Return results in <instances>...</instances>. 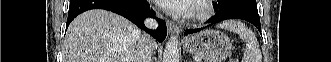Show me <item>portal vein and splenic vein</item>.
I'll list each match as a JSON object with an SVG mask.
<instances>
[{"instance_id": "1", "label": "portal vein and splenic vein", "mask_w": 331, "mask_h": 62, "mask_svg": "<svg viewBox=\"0 0 331 62\" xmlns=\"http://www.w3.org/2000/svg\"><path fill=\"white\" fill-rule=\"evenodd\" d=\"M196 61H197V62H201V60H199V59H196Z\"/></svg>"}]
</instances>
